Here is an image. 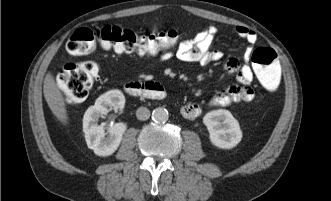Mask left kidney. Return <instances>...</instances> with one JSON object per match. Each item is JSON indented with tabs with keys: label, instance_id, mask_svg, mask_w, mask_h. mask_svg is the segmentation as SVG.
<instances>
[{
	"label": "left kidney",
	"instance_id": "left-kidney-1",
	"mask_svg": "<svg viewBox=\"0 0 331 201\" xmlns=\"http://www.w3.org/2000/svg\"><path fill=\"white\" fill-rule=\"evenodd\" d=\"M203 123L209 131L212 144L222 149L235 147L242 139L239 122L230 111L213 110L203 117Z\"/></svg>",
	"mask_w": 331,
	"mask_h": 201
}]
</instances>
